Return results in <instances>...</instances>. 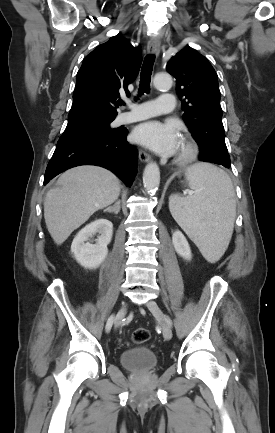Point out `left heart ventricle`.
Segmentation results:
<instances>
[{"instance_id": "b2bd125f", "label": "left heart ventricle", "mask_w": 275, "mask_h": 433, "mask_svg": "<svg viewBox=\"0 0 275 433\" xmlns=\"http://www.w3.org/2000/svg\"><path fill=\"white\" fill-rule=\"evenodd\" d=\"M181 146H182V144H181V142H180L179 147H178V151L180 150Z\"/></svg>"}]
</instances>
